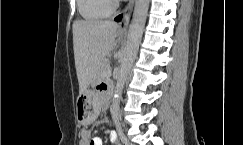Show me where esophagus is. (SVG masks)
Here are the masks:
<instances>
[{"instance_id":"34e87169","label":"esophagus","mask_w":243,"mask_h":145,"mask_svg":"<svg viewBox=\"0 0 243 145\" xmlns=\"http://www.w3.org/2000/svg\"><path fill=\"white\" fill-rule=\"evenodd\" d=\"M134 3H135V0H129V3L127 4L125 9L123 10V12L121 14L122 19H121L119 26H118L120 31H126L127 30V27H128L129 21H130V17H131V13H132V10H133V7H134Z\"/></svg>"}]
</instances>
